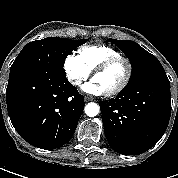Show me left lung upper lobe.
<instances>
[{"label": "left lung upper lobe", "instance_id": "left-lung-upper-lobe-1", "mask_svg": "<svg viewBox=\"0 0 178 178\" xmlns=\"http://www.w3.org/2000/svg\"><path fill=\"white\" fill-rule=\"evenodd\" d=\"M129 59L132 66V76L125 88L144 83H168L166 72L159 60L133 41L111 39Z\"/></svg>", "mask_w": 178, "mask_h": 178}]
</instances>
